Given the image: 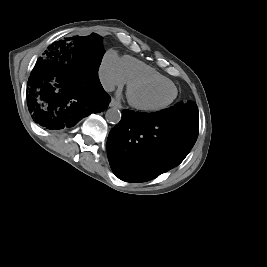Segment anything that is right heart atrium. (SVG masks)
Returning <instances> with one entry per match:
<instances>
[{
  "label": "right heart atrium",
  "instance_id": "1",
  "mask_svg": "<svg viewBox=\"0 0 267 267\" xmlns=\"http://www.w3.org/2000/svg\"><path fill=\"white\" fill-rule=\"evenodd\" d=\"M99 78L103 87L108 91L122 87L126 83L121 60L114 51H108L104 55L99 67Z\"/></svg>",
  "mask_w": 267,
  "mask_h": 267
}]
</instances>
